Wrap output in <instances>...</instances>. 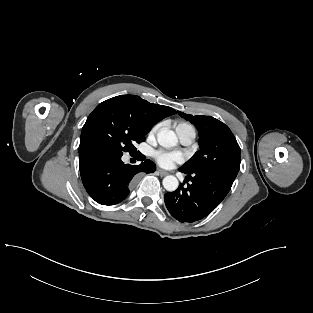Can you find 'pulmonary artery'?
Returning a JSON list of instances; mask_svg holds the SVG:
<instances>
[{
  "label": "pulmonary artery",
  "instance_id": "obj_1",
  "mask_svg": "<svg viewBox=\"0 0 313 313\" xmlns=\"http://www.w3.org/2000/svg\"><path fill=\"white\" fill-rule=\"evenodd\" d=\"M179 138L182 144L190 145L195 139V134L192 132H183L179 135Z\"/></svg>",
  "mask_w": 313,
  "mask_h": 313
}]
</instances>
